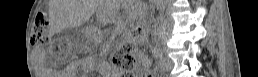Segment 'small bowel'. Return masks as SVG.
I'll return each mask as SVG.
<instances>
[{
	"instance_id": "small-bowel-1",
	"label": "small bowel",
	"mask_w": 258,
	"mask_h": 77,
	"mask_svg": "<svg viewBox=\"0 0 258 77\" xmlns=\"http://www.w3.org/2000/svg\"><path fill=\"white\" fill-rule=\"evenodd\" d=\"M143 72V68L139 67L136 73H142Z\"/></svg>"
}]
</instances>
